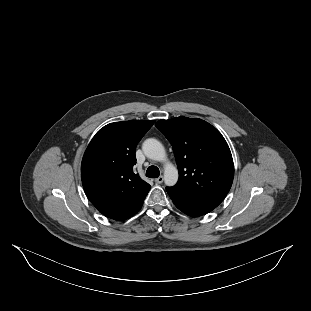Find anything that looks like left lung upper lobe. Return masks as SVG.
<instances>
[{"label": "left lung upper lobe", "instance_id": "5c2ea615", "mask_svg": "<svg viewBox=\"0 0 311 311\" xmlns=\"http://www.w3.org/2000/svg\"><path fill=\"white\" fill-rule=\"evenodd\" d=\"M156 127L170 141L179 171L172 189L221 203L234 178L229 146L221 133L201 119L159 120Z\"/></svg>", "mask_w": 311, "mask_h": 311}]
</instances>
